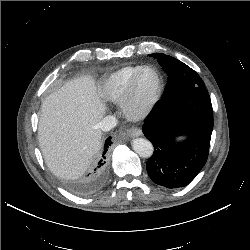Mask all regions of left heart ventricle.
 Listing matches in <instances>:
<instances>
[{"mask_svg": "<svg viewBox=\"0 0 250 250\" xmlns=\"http://www.w3.org/2000/svg\"><path fill=\"white\" fill-rule=\"evenodd\" d=\"M157 84L156 76L152 71H146L141 77L134 98V107H143L152 96Z\"/></svg>", "mask_w": 250, "mask_h": 250, "instance_id": "1", "label": "left heart ventricle"}]
</instances>
